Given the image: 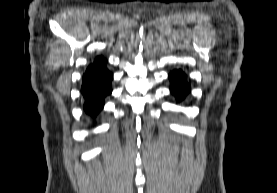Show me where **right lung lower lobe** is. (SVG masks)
I'll return each instance as SVG.
<instances>
[{"mask_svg": "<svg viewBox=\"0 0 277 193\" xmlns=\"http://www.w3.org/2000/svg\"><path fill=\"white\" fill-rule=\"evenodd\" d=\"M105 62L102 57H97L83 75L81 93L85 98L84 110L93 117L103 108L104 98L112 92L113 75Z\"/></svg>", "mask_w": 277, "mask_h": 193, "instance_id": "obj_1", "label": "right lung lower lobe"}]
</instances>
